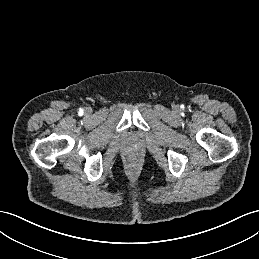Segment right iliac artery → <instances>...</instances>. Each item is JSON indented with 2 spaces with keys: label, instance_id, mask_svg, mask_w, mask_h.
Masks as SVG:
<instances>
[{
  "label": "right iliac artery",
  "instance_id": "1",
  "mask_svg": "<svg viewBox=\"0 0 259 259\" xmlns=\"http://www.w3.org/2000/svg\"><path fill=\"white\" fill-rule=\"evenodd\" d=\"M79 113H81V114H82V113H83V109H80Z\"/></svg>",
  "mask_w": 259,
  "mask_h": 259
}]
</instances>
